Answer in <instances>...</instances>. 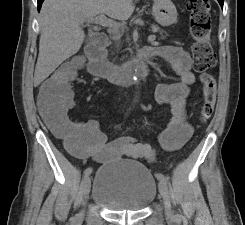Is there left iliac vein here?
<instances>
[{"label":"left iliac vein","mask_w":245,"mask_h":225,"mask_svg":"<svg viewBox=\"0 0 245 225\" xmlns=\"http://www.w3.org/2000/svg\"><path fill=\"white\" fill-rule=\"evenodd\" d=\"M159 192L163 198L165 207H166V215L168 219L173 218V213L170 208V201H169V193H168V187L165 181L159 182Z\"/></svg>","instance_id":"left-iliac-vein-1"}]
</instances>
